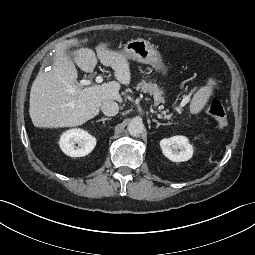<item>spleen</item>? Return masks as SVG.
I'll use <instances>...</instances> for the list:
<instances>
[{
	"instance_id": "obj_1",
	"label": "spleen",
	"mask_w": 255,
	"mask_h": 255,
	"mask_svg": "<svg viewBox=\"0 0 255 255\" xmlns=\"http://www.w3.org/2000/svg\"><path fill=\"white\" fill-rule=\"evenodd\" d=\"M215 84V81L209 80L206 87L201 88L194 94L190 104V113L197 114L203 109Z\"/></svg>"
}]
</instances>
